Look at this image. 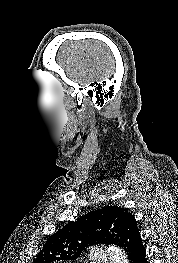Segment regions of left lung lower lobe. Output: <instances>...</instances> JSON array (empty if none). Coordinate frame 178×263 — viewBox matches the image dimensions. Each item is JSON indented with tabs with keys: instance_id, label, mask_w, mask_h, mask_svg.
Segmentation results:
<instances>
[{
	"instance_id": "1",
	"label": "left lung lower lobe",
	"mask_w": 178,
	"mask_h": 263,
	"mask_svg": "<svg viewBox=\"0 0 178 263\" xmlns=\"http://www.w3.org/2000/svg\"><path fill=\"white\" fill-rule=\"evenodd\" d=\"M119 247L127 252L130 263H148L146 250L142 243L137 223L134 216H131L125 226Z\"/></svg>"
}]
</instances>
